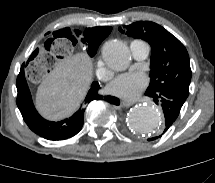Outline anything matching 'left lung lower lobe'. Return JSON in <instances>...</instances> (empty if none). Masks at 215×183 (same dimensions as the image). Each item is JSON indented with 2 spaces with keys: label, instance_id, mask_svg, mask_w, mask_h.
I'll return each mask as SVG.
<instances>
[{
  "label": "left lung lower lobe",
  "instance_id": "1",
  "mask_svg": "<svg viewBox=\"0 0 215 183\" xmlns=\"http://www.w3.org/2000/svg\"><path fill=\"white\" fill-rule=\"evenodd\" d=\"M146 96L152 97L156 104H160L164 116H165V125L166 128L163 133H165L168 128L173 124V122L178 117L181 107L183 106L186 98L180 93L170 89H164L158 93H146ZM156 138L148 139L153 140Z\"/></svg>",
  "mask_w": 215,
  "mask_h": 183
}]
</instances>
